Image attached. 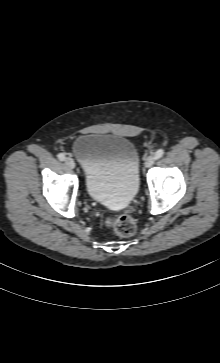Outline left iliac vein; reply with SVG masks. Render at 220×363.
I'll return each mask as SVG.
<instances>
[{
    "label": "left iliac vein",
    "mask_w": 220,
    "mask_h": 363,
    "mask_svg": "<svg viewBox=\"0 0 220 363\" xmlns=\"http://www.w3.org/2000/svg\"><path fill=\"white\" fill-rule=\"evenodd\" d=\"M154 163H155V157L154 156H149L145 160V167L150 168Z\"/></svg>",
    "instance_id": "obj_1"
}]
</instances>
